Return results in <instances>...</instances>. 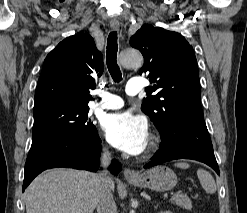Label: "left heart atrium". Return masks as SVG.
<instances>
[{
    "mask_svg": "<svg viewBox=\"0 0 247 213\" xmlns=\"http://www.w3.org/2000/svg\"><path fill=\"white\" fill-rule=\"evenodd\" d=\"M108 141L116 148L132 155L144 151L148 143L146 120L130 112L105 116L101 123Z\"/></svg>",
    "mask_w": 247,
    "mask_h": 213,
    "instance_id": "39dd6f15",
    "label": "left heart atrium"
}]
</instances>
